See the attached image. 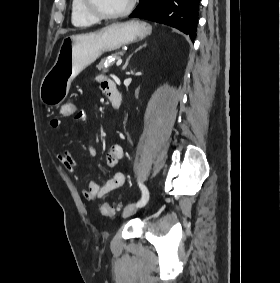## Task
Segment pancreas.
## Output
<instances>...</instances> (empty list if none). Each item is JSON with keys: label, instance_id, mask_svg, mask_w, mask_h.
<instances>
[{"label": "pancreas", "instance_id": "cf45deb5", "mask_svg": "<svg viewBox=\"0 0 280 283\" xmlns=\"http://www.w3.org/2000/svg\"><path fill=\"white\" fill-rule=\"evenodd\" d=\"M122 54H123V52L119 51V52H115V53L111 54V56L117 58ZM108 61H109L108 57L101 59V61L97 65L98 70H102L104 72L107 71L109 69V67H111L113 65V63H108L107 66H105V62H108Z\"/></svg>", "mask_w": 280, "mask_h": 283}]
</instances>
